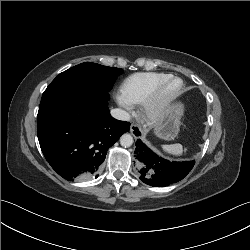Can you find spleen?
I'll list each match as a JSON object with an SVG mask.
<instances>
[{
	"mask_svg": "<svg viewBox=\"0 0 250 250\" xmlns=\"http://www.w3.org/2000/svg\"><path fill=\"white\" fill-rule=\"evenodd\" d=\"M162 149L171 155L181 156L184 152L187 151V148L183 149V146L179 143L171 144V145H162Z\"/></svg>",
	"mask_w": 250,
	"mask_h": 250,
	"instance_id": "spleen-1",
	"label": "spleen"
}]
</instances>
